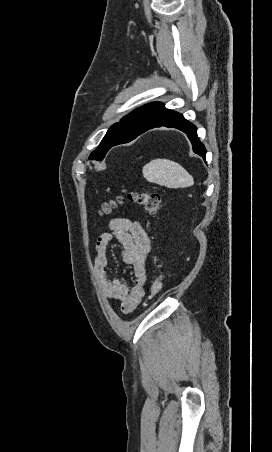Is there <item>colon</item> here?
Wrapping results in <instances>:
<instances>
[{
	"label": "colon",
	"instance_id": "colon-1",
	"mask_svg": "<svg viewBox=\"0 0 272 452\" xmlns=\"http://www.w3.org/2000/svg\"><path fill=\"white\" fill-rule=\"evenodd\" d=\"M125 200L141 206L149 214L157 213L161 206V197L158 193L151 191L143 192L132 191L129 192L125 197L120 196L116 199L103 202L99 208V215L100 216L110 215L114 208L118 204L123 203ZM162 286H163V275L160 274L155 278L151 285L150 288L151 297L156 296L161 291Z\"/></svg>",
	"mask_w": 272,
	"mask_h": 452
}]
</instances>
